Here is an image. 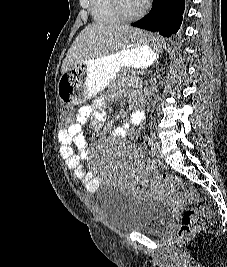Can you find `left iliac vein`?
I'll use <instances>...</instances> for the list:
<instances>
[{"label": "left iliac vein", "mask_w": 227, "mask_h": 267, "mask_svg": "<svg viewBox=\"0 0 227 267\" xmlns=\"http://www.w3.org/2000/svg\"><path fill=\"white\" fill-rule=\"evenodd\" d=\"M152 149H153V155H154L156 158L161 159V158L163 157V155H162V153H161V145H160V143L155 142V143L153 144Z\"/></svg>", "instance_id": "obj_1"}]
</instances>
